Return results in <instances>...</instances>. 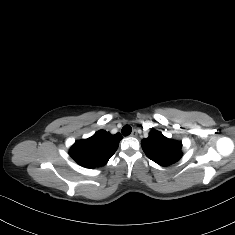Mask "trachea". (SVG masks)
Segmentation results:
<instances>
[{
	"label": "trachea",
	"mask_w": 235,
	"mask_h": 235,
	"mask_svg": "<svg viewBox=\"0 0 235 235\" xmlns=\"http://www.w3.org/2000/svg\"><path fill=\"white\" fill-rule=\"evenodd\" d=\"M131 132H132V128H131V126H129V125H125V126L122 128V135H124V136L129 135Z\"/></svg>",
	"instance_id": "1"
}]
</instances>
